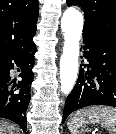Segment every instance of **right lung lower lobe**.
I'll use <instances>...</instances> for the list:
<instances>
[{
  "label": "right lung lower lobe",
  "mask_w": 116,
  "mask_h": 134,
  "mask_svg": "<svg viewBox=\"0 0 116 134\" xmlns=\"http://www.w3.org/2000/svg\"><path fill=\"white\" fill-rule=\"evenodd\" d=\"M36 46L31 40L27 44L6 54L0 64L4 67L0 73V118L9 119L17 123L26 132V111L30 102V87L34 74L32 67L35 63ZM16 64L20 70L22 80L18 83L11 80L9 72Z\"/></svg>",
  "instance_id": "right-lung-lower-lobe-1"
}]
</instances>
